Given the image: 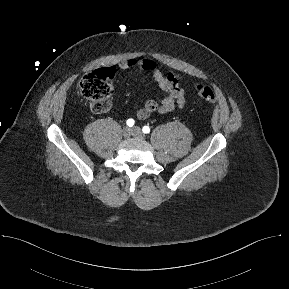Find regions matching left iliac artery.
Wrapping results in <instances>:
<instances>
[{
  "instance_id": "1",
  "label": "left iliac artery",
  "mask_w": 289,
  "mask_h": 289,
  "mask_svg": "<svg viewBox=\"0 0 289 289\" xmlns=\"http://www.w3.org/2000/svg\"><path fill=\"white\" fill-rule=\"evenodd\" d=\"M143 133L148 134L150 132V128L148 126H144L142 128Z\"/></svg>"
}]
</instances>
